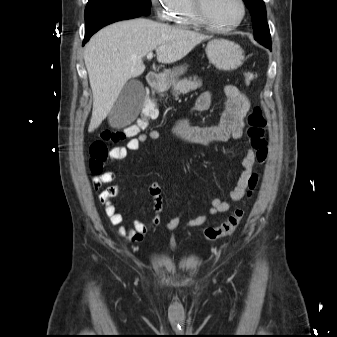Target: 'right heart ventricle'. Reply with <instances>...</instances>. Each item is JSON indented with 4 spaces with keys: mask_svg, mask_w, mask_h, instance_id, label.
I'll list each match as a JSON object with an SVG mask.
<instances>
[{
    "mask_svg": "<svg viewBox=\"0 0 337 337\" xmlns=\"http://www.w3.org/2000/svg\"><path fill=\"white\" fill-rule=\"evenodd\" d=\"M171 20L177 25L184 27L200 25L194 16L191 0H177L171 13Z\"/></svg>",
    "mask_w": 337,
    "mask_h": 337,
    "instance_id": "right-heart-ventricle-1",
    "label": "right heart ventricle"
}]
</instances>
